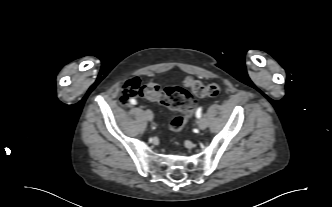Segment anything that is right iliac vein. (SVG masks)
I'll return each mask as SVG.
<instances>
[{
  "label": "right iliac vein",
  "mask_w": 332,
  "mask_h": 207,
  "mask_svg": "<svg viewBox=\"0 0 332 207\" xmlns=\"http://www.w3.org/2000/svg\"><path fill=\"white\" fill-rule=\"evenodd\" d=\"M145 116H146L148 121H152L153 117H154L153 112L151 110H146L145 111Z\"/></svg>",
  "instance_id": "1"
}]
</instances>
